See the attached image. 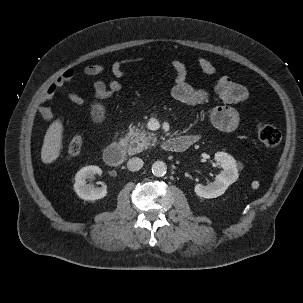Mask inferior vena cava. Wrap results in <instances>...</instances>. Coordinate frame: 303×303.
<instances>
[{
	"mask_svg": "<svg viewBox=\"0 0 303 303\" xmlns=\"http://www.w3.org/2000/svg\"><path fill=\"white\" fill-rule=\"evenodd\" d=\"M143 160L137 157L129 159L127 167L130 171H138L143 167Z\"/></svg>",
	"mask_w": 303,
	"mask_h": 303,
	"instance_id": "602c4592",
	"label": "inferior vena cava"
}]
</instances>
